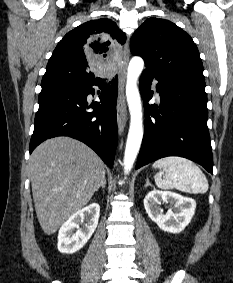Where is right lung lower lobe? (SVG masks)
Segmentation results:
<instances>
[{
	"label": "right lung lower lobe",
	"instance_id": "right-lung-lower-lobe-1",
	"mask_svg": "<svg viewBox=\"0 0 233 283\" xmlns=\"http://www.w3.org/2000/svg\"><path fill=\"white\" fill-rule=\"evenodd\" d=\"M117 83L115 77L113 84L107 87L103 79L85 84L68 82L42 86L30 153L46 139L70 136L87 144L109 167H113L118 139ZM94 85L103 89V93L100 102L89 105L86 97L94 94ZM88 108L94 111L87 112Z\"/></svg>",
	"mask_w": 233,
	"mask_h": 283
}]
</instances>
